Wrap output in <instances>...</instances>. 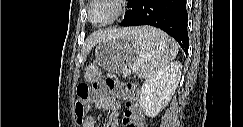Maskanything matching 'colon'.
<instances>
[{"mask_svg":"<svg viewBox=\"0 0 243 127\" xmlns=\"http://www.w3.org/2000/svg\"><path fill=\"white\" fill-rule=\"evenodd\" d=\"M77 101L75 103V116L78 124H82L83 118L88 112L89 104L97 99L112 97L122 100L125 104V112L122 124L125 127H143L144 120L138 105V95L131 83H124L116 78H107L104 84H79L76 88Z\"/></svg>","mask_w":243,"mask_h":127,"instance_id":"5ec220e1","label":"colon"}]
</instances>
